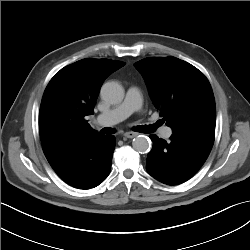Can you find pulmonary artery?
Returning a JSON list of instances; mask_svg holds the SVG:
<instances>
[{"label": "pulmonary artery", "instance_id": "obj_1", "mask_svg": "<svg viewBox=\"0 0 250 250\" xmlns=\"http://www.w3.org/2000/svg\"><path fill=\"white\" fill-rule=\"evenodd\" d=\"M142 105V92L140 88L131 86L126 93L124 101L118 106L103 112L96 117V122L102 126H111L123 121L135 111H138ZM160 135L169 139L172 135V129L168 126L160 130Z\"/></svg>", "mask_w": 250, "mask_h": 250}]
</instances>
